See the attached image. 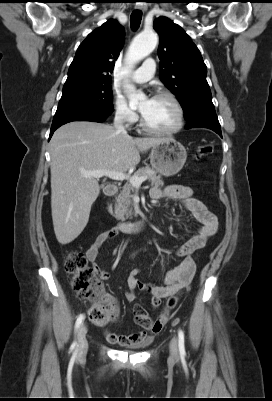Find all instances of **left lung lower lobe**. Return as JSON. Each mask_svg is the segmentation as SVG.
<instances>
[{"mask_svg": "<svg viewBox=\"0 0 272 401\" xmlns=\"http://www.w3.org/2000/svg\"><path fill=\"white\" fill-rule=\"evenodd\" d=\"M186 129L209 128L222 137L221 127L215 112L199 113L186 119Z\"/></svg>", "mask_w": 272, "mask_h": 401, "instance_id": "obj_1", "label": "left lung lower lobe"}]
</instances>
